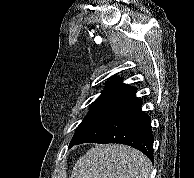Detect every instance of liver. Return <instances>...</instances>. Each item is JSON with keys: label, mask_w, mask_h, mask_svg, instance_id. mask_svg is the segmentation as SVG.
I'll return each instance as SVG.
<instances>
[{"label": "liver", "mask_w": 194, "mask_h": 178, "mask_svg": "<svg viewBox=\"0 0 194 178\" xmlns=\"http://www.w3.org/2000/svg\"><path fill=\"white\" fill-rule=\"evenodd\" d=\"M151 162L125 145L92 147L77 161L70 178H150Z\"/></svg>", "instance_id": "obj_1"}]
</instances>
